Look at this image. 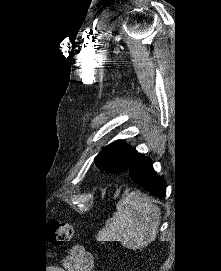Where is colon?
I'll return each mask as SVG.
<instances>
[{"instance_id":"obj_1","label":"colon","mask_w":221,"mask_h":271,"mask_svg":"<svg viewBox=\"0 0 221 271\" xmlns=\"http://www.w3.org/2000/svg\"><path fill=\"white\" fill-rule=\"evenodd\" d=\"M50 228L53 242L57 245L69 242L74 234L72 226L68 223H57L53 221L50 223Z\"/></svg>"}]
</instances>
